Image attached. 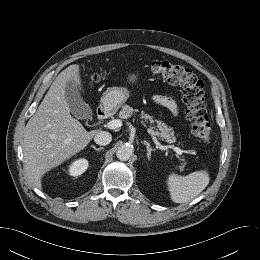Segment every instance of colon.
Returning a JSON list of instances; mask_svg holds the SVG:
<instances>
[{"mask_svg": "<svg viewBox=\"0 0 260 260\" xmlns=\"http://www.w3.org/2000/svg\"><path fill=\"white\" fill-rule=\"evenodd\" d=\"M150 70L167 83L182 88L186 116L191 123L192 133L200 141L208 142L211 138V125L202 81L189 68L170 61H153ZM96 80H99V77Z\"/></svg>", "mask_w": 260, "mask_h": 260, "instance_id": "5ec220e1", "label": "colon"}]
</instances>
